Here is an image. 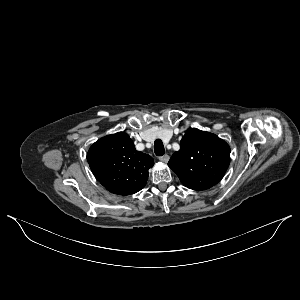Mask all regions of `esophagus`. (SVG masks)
I'll return each mask as SVG.
<instances>
[{
    "label": "esophagus",
    "mask_w": 300,
    "mask_h": 300,
    "mask_svg": "<svg viewBox=\"0 0 300 300\" xmlns=\"http://www.w3.org/2000/svg\"><path fill=\"white\" fill-rule=\"evenodd\" d=\"M169 158H170L169 155L165 154L163 156H160L159 160L163 163H167L169 161Z\"/></svg>",
    "instance_id": "obj_1"
}]
</instances>
